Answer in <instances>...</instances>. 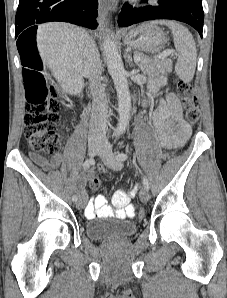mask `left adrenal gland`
<instances>
[{
	"label": "left adrenal gland",
	"mask_w": 227,
	"mask_h": 298,
	"mask_svg": "<svg viewBox=\"0 0 227 298\" xmlns=\"http://www.w3.org/2000/svg\"><path fill=\"white\" fill-rule=\"evenodd\" d=\"M126 55H127V61L129 62V64L134 66V64L132 62V57L128 53H126Z\"/></svg>",
	"instance_id": "a2214340"
}]
</instances>
